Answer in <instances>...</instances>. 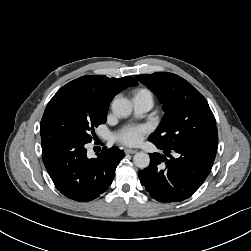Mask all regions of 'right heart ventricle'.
Wrapping results in <instances>:
<instances>
[{"label": "right heart ventricle", "instance_id": "obj_1", "mask_svg": "<svg viewBox=\"0 0 251 251\" xmlns=\"http://www.w3.org/2000/svg\"><path fill=\"white\" fill-rule=\"evenodd\" d=\"M138 93H148V94H150L149 91H147L145 89L138 90L136 94H138Z\"/></svg>", "mask_w": 251, "mask_h": 251}]
</instances>
